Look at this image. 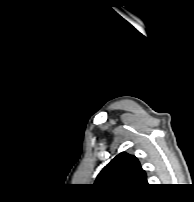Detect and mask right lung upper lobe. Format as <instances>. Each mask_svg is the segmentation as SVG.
Returning <instances> with one entry per match:
<instances>
[{"label":"right lung upper lobe","instance_id":"right-lung-upper-lobe-1","mask_svg":"<svg viewBox=\"0 0 194 202\" xmlns=\"http://www.w3.org/2000/svg\"><path fill=\"white\" fill-rule=\"evenodd\" d=\"M104 190L131 191L148 186L139 161L125 152L117 155L98 174L94 183Z\"/></svg>","mask_w":194,"mask_h":202}]
</instances>
